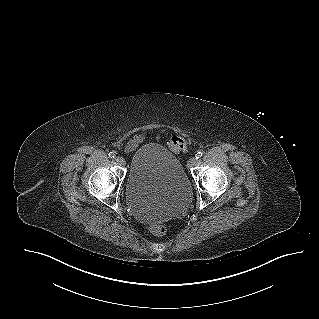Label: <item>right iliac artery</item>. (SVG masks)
<instances>
[{
  "label": "right iliac artery",
  "mask_w": 319,
  "mask_h": 319,
  "mask_svg": "<svg viewBox=\"0 0 319 319\" xmlns=\"http://www.w3.org/2000/svg\"><path fill=\"white\" fill-rule=\"evenodd\" d=\"M108 155H109L110 158H115V156H116L114 151L109 152Z\"/></svg>",
  "instance_id": "1"
}]
</instances>
